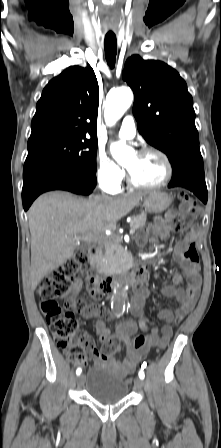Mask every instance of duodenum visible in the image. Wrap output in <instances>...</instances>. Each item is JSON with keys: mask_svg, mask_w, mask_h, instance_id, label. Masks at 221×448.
<instances>
[{"mask_svg": "<svg viewBox=\"0 0 221 448\" xmlns=\"http://www.w3.org/2000/svg\"><path fill=\"white\" fill-rule=\"evenodd\" d=\"M90 265L92 270L96 273L93 286L99 295H108L118 282V275L116 273L102 274L99 265V255L96 249L90 251ZM144 269H130L126 278V283L136 289L143 285Z\"/></svg>", "mask_w": 221, "mask_h": 448, "instance_id": "410a0bca", "label": "duodenum"}]
</instances>
